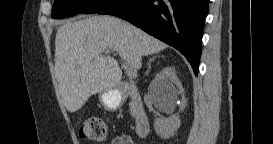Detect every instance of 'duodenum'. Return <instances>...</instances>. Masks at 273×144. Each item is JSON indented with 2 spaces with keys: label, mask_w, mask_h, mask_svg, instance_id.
I'll list each match as a JSON object with an SVG mask.
<instances>
[{
  "label": "duodenum",
  "mask_w": 273,
  "mask_h": 144,
  "mask_svg": "<svg viewBox=\"0 0 273 144\" xmlns=\"http://www.w3.org/2000/svg\"><path fill=\"white\" fill-rule=\"evenodd\" d=\"M117 91L121 96L128 97L131 100L135 114V133L138 137L145 138L150 131V121L138 88L131 82H122L118 85Z\"/></svg>",
  "instance_id": "1"
}]
</instances>
